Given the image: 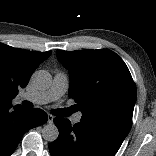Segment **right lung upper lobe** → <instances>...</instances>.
I'll return each instance as SVG.
<instances>
[{
    "label": "right lung upper lobe",
    "instance_id": "obj_1",
    "mask_svg": "<svg viewBox=\"0 0 156 156\" xmlns=\"http://www.w3.org/2000/svg\"><path fill=\"white\" fill-rule=\"evenodd\" d=\"M51 53L28 51L0 43V108L12 106L11 101L18 94V89L26 87L34 70Z\"/></svg>",
    "mask_w": 156,
    "mask_h": 156
}]
</instances>
